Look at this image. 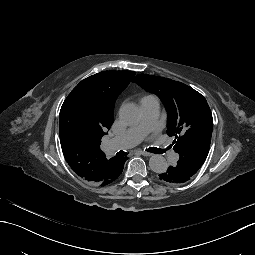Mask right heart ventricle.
Here are the masks:
<instances>
[{
    "mask_svg": "<svg viewBox=\"0 0 255 255\" xmlns=\"http://www.w3.org/2000/svg\"><path fill=\"white\" fill-rule=\"evenodd\" d=\"M154 99H157L155 95L153 94H146L142 97L141 99V102L143 101H151V100H154Z\"/></svg>",
    "mask_w": 255,
    "mask_h": 255,
    "instance_id": "right-heart-ventricle-1",
    "label": "right heart ventricle"
}]
</instances>
